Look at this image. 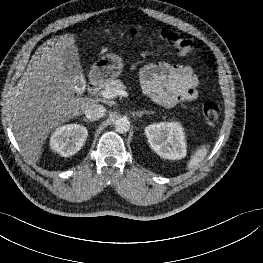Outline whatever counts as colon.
Listing matches in <instances>:
<instances>
[{"instance_id":"1","label":"colon","mask_w":263,"mask_h":263,"mask_svg":"<svg viewBox=\"0 0 263 263\" xmlns=\"http://www.w3.org/2000/svg\"><path fill=\"white\" fill-rule=\"evenodd\" d=\"M139 34V29L132 27L128 30L118 32L116 36H137ZM160 37L173 47L181 56H188L193 52V42L189 38H186L176 32L163 30L160 32ZM202 115L207 124L215 125L220 116L219 105L215 102H206L202 107Z\"/></svg>"}]
</instances>
